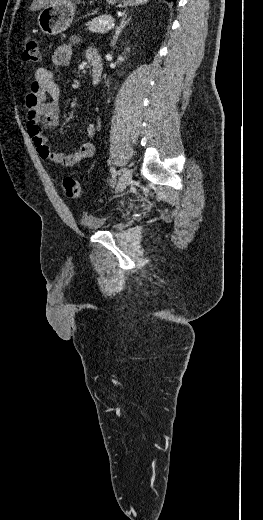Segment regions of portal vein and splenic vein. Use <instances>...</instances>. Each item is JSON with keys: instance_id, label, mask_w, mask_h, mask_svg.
<instances>
[{"instance_id": "18ae733b", "label": "portal vein and splenic vein", "mask_w": 263, "mask_h": 520, "mask_svg": "<svg viewBox=\"0 0 263 520\" xmlns=\"http://www.w3.org/2000/svg\"><path fill=\"white\" fill-rule=\"evenodd\" d=\"M107 24V29H112L115 26L114 22H108Z\"/></svg>"}]
</instances>
